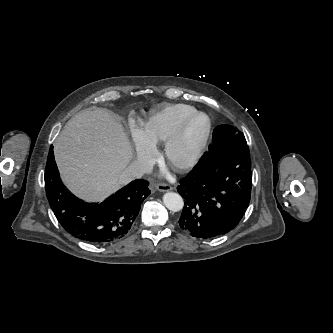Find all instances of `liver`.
<instances>
[{"label":"liver","instance_id":"liver-1","mask_svg":"<svg viewBox=\"0 0 333 333\" xmlns=\"http://www.w3.org/2000/svg\"><path fill=\"white\" fill-rule=\"evenodd\" d=\"M66 186L87 200H101L123 184L120 175L133 151L121 124L105 109H86L72 117L54 144Z\"/></svg>","mask_w":333,"mask_h":333}]
</instances>
